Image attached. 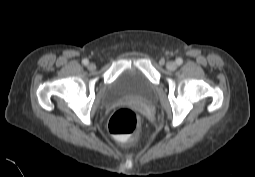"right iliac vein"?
Listing matches in <instances>:
<instances>
[{"label":"right iliac vein","instance_id":"1","mask_svg":"<svg viewBox=\"0 0 255 177\" xmlns=\"http://www.w3.org/2000/svg\"><path fill=\"white\" fill-rule=\"evenodd\" d=\"M88 69H89L90 71H94V70L96 69V65H95L94 63H90V64L88 65Z\"/></svg>","mask_w":255,"mask_h":177}]
</instances>
